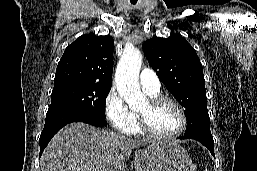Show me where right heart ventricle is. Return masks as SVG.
I'll return each instance as SVG.
<instances>
[{"label":"right heart ventricle","instance_id":"1","mask_svg":"<svg viewBox=\"0 0 257 171\" xmlns=\"http://www.w3.org/2000/svg\"><path fill=\"white\" fill-rule=\"evenodd\" d=\"M145 93L150 97H154V96L158 95V93H150V92H146V91H145ZM125 133H127L129 135H140L143 133L138 124L137 114L134 113V118H133L132 124Z\"/></svg>","mask_w":257,"mask_h":171}]
</instances>
